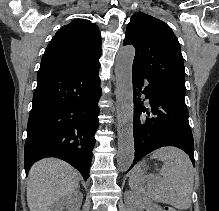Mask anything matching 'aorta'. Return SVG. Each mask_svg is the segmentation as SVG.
I'll use <instances>...</instances> for the list:
<instances>
[{
	"mask_svg": "<svg viewBox=\"0 0 219 211\" xmlns=\"http://www.w3.org/2000/svg\"><path fill=\"white\" fill-rule=\"evenodd\" d=\"M135 57L133 46L121 47L116 56V100H117V132L118 153L117 166L121 171H127L134 160L133 136V83L132 65Z\"/></svg>",
	"mask_w": 219,
	"mask_h": 211,
	"instance_id": "762f6f07",
	"label": "aorta"
}]
</instances>
